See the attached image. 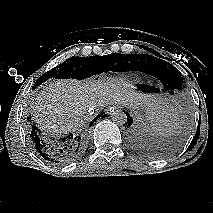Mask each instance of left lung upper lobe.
<instances>
[{"mask_svg":"<svg viewBox=\"0 0 213 213\" xmlns=\"http://www.w3.org/2000/svg\"><path fill=\"white\" fill-rule=\"evenodd\" d=\"M131 63L135 70L150 74L159 80L168 81L173 86V90H180L183 87L182 74L173 65L158 57L135 54Z\"/></svg>","mask_w":213,"mask_h":213,"instance_id":"left-lung-upper-lobe-1","label":"left lung upper lobe"}]
</instances>
